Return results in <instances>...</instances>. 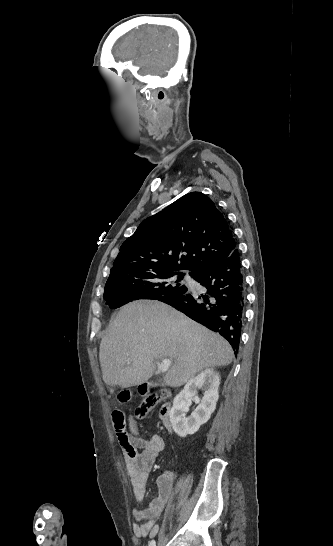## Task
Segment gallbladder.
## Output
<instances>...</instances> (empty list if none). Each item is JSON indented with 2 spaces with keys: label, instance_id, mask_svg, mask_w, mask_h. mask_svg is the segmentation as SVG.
I'll return each instance as SVG.
<instances>
[{
  "label": "gallbladder",
  "instance_id": "bac80fb5",
  "mask_svg": "<svg viewBox=\"0 0 333 546\" xmlns=\"http://www.w3.org/2000/svg\"><path fill=\"white\" fill-rule=\"evenodd\" d=\"M152 385H153V386H156V385H157V383H156V382H153V384H152Z\"/></svg>",
  "mask_w": 333,
  "mask_h": 546
}]
</instances>
